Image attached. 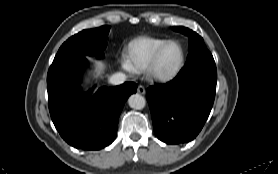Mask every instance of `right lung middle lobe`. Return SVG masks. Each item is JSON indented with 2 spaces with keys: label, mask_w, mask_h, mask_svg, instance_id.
<instances>
[{
  "label": "right lung middle lobe",
  "mask_w": 278,
  "mask_h": 174,
  "mask_svg": "<svg viewBox=\"0 0 278 174\" xmlns=\"http://www.w3.org/2000/svg\"><path fill=\"white\" fill-rule=\"evenodd\" d=\"M110 26H102L96 29L83 30L70 37L60 47L52 65L54 66L63 60L78 56L103 57V51L107 45V37Z\"/></svg>",
  "instance_id": "dd1d6c3e"
}]
</instances>
